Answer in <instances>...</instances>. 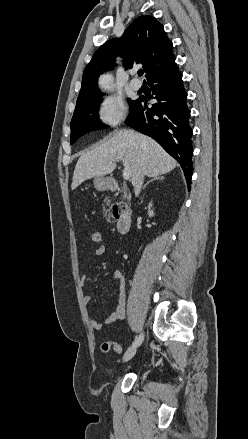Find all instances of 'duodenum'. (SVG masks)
I'll use <instances>...</instances> for the list:
<instances>
[{
    "instance_id": "obj_1",
    "label": "duodenum",
    "mask_w": 248,
    "mask_h": 439,
    "mask_svg": "<svg viewBox=\"0 0 248 439\" xmlns=\"http://www.w3.org/2000/svg\"><path fill=\"white\" fill-rule=\"evenodd\" d=\"M108 189L114 192L121 190L118 182L111 181ZM113 216L116 219V229L119 233H126L131 226V215L128 209L123 204H116L113 206Z\"/></svg>"
}]
</instances>
